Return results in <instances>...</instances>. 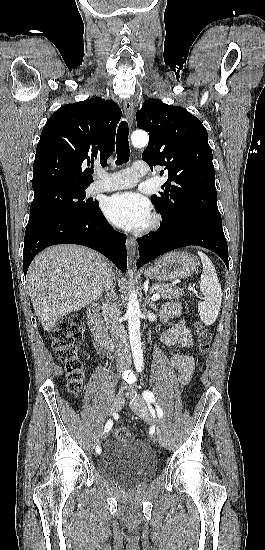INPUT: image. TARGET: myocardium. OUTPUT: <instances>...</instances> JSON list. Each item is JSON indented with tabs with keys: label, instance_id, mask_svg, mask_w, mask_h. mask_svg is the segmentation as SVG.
Wrapping results in <instances>:
<instances>
[{
	"label": "myocardium",
	"instance_id": "1",
	"mask_svg": "<svg viewBox=\"0 0 265 550\" xmlns=\"http://www.w3.org/2000/svg\"><path fill=\"white\" fill-rule=\"evenodd\" d=\"M159 223H160L159 217H158V216H154V217L151 219V221H150V223H149V225H148V228H149V229H154V228H156V227L159 226Z\"/></svg>",
	"mask_w": 265,
	"mask_h": 550
}]
</instances>
